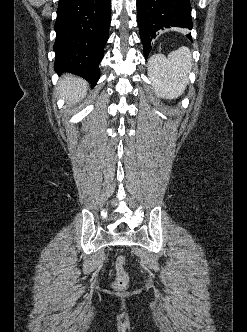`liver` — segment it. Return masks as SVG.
<instances>
[{
  "label": "liver",
  "mask_w": 247,
  "mask_h": 332,
  "mask_svg": "<svg viewBox=\"0 0 247 332\" xmlns=\"http://www.w3.org/2000/svg\"><path fill=\"white\" fill-rule=\"evenodd\" d=\"M88 84L83 79L67 75L58 84V91L61 98L69 104H76L86 96Z\"/></svg>",
  "instance_id": "1"
}]
</instances>
